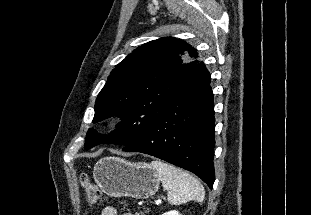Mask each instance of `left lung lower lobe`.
Segmentation results:
<instances>
[{
	"label": "left lung lower lobe",
	"mask_w": 311,
	"mask_h": 215,
	"mask_svg": "<svg viewBox=\"0 0 311 215\" xmlns=\"http://www.w3.org/2000/svg\"><path fill=\"white\" fill-rule=\"evenodd\" d=\"M214 129L210 73L204 63L199 62L189 82L122 150L152 155L184 168L212 188L215 181Z\"/></svg>",
	"instance_id": "0a47b994"
}]
</instances>
